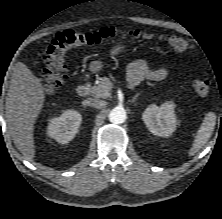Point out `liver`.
Segmentation results:
<instances>
[{"mask_svg": "<svg viewBox=\"0 0 222 219\" xmlns=\"http://www.w3.org/2000/svg\"><path fill=\"white\" fill-rule=\"evenodd\" d=\"M45 88L22 62L13 69L5 110L9 133L17 149L28 161L35 156L34 124L43 108Z\"/></svg>", "mask_w": 222, "mask_h": 219, "instance_id": "6515ba94", "label": "liver"}]
</instances>
